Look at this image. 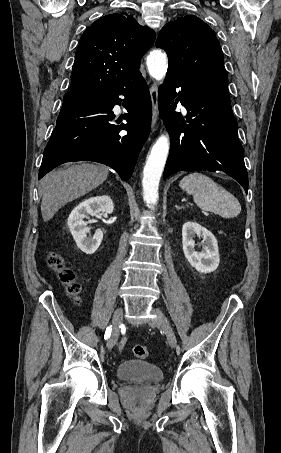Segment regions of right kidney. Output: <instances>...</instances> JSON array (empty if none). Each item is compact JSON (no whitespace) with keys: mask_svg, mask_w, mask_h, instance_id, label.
<instances>
[{"mask_svg":"<svg viewBox=\"0 0 281 453\" xmlns=\"http://www.w3.org/2000/svg\"><path fill=\"white\" fill-rule=\"evenodd\" d=\"M113 210L114 202L108 194L86 198L71 210L67 224L77 247L86 255H93L97 251L102 243L103 233L101 229H96L93 237H88L90 229L87 227L88 222H85L83 218H87L89 214H92V216H99L103 212L110 214ZM94 222H97V220H94Z\"/></svg>","mask_w":281,"mask_h":453,"instance_id":"1","label":"right kidney"}]
</instances>
